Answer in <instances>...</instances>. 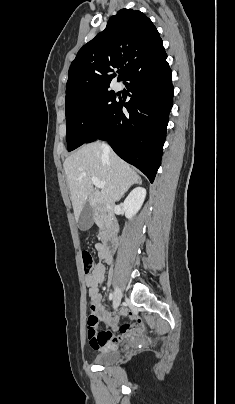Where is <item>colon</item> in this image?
<instances>
[{
    "instance_id": "1",
    "label": "colon",
    "mask_w": 235,
    "mask_h": 404,
    "mask_svg": "<svg viewBox=\"0 0 235 404\" xmlns=\"http://www.w3.org/2000/svg\"><path fill=\"white\" fill-rule=\"evenodd\" d=\"M81 259H82L83 270H84L85 274H89L92 271L93 266H94V258L92 256L91 252L88 250H83L81 252ZM87 324H88V330L94 334L96 332V328H97V324H98V317L92 313L88 317Z\"/></svg>"
}]
</instances>
